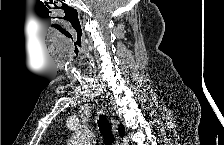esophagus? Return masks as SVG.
I'll return each mask as SVG.
<instances>
[{
    "instance_id": "esophagus-1",
    "label": "esophagus",
    "mask_w": 224,
    "mask_h": 145,
    "mask_svg": "<svg viewBox=\"0 0 224 145\" xmlns=\"http://www.w3.org/2000/svg\"><path fill=\"white\" fill-rule=\"evenodd\" d=\"M112 124H113V129L117 132L118 123L116 122V120H112Z\"/></svg>"
}]
</instances>
